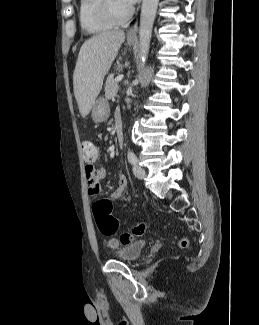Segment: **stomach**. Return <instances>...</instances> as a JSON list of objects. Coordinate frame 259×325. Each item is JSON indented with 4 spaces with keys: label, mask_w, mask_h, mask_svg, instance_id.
I'll use <instances>...</instances> for the list:
<instances>
[{
    "label": "stomach",
    "mask_w": 259,
    "mask_h": 325,
    "mask_svg": "<svg viewBox=\"0 0 259 325\" xmlns=\"http://www.w3.org/2000/svg\"><path fill=\"white\" fill-rule=\"evenodd\" d=\"M128 45H132L133 41L128 39ZM109 103L106 99L98 98L92 106V118L95 122H103L109 115Z\"/></svg>",
    "instance_id": "obj_1"
}]
</instances>
